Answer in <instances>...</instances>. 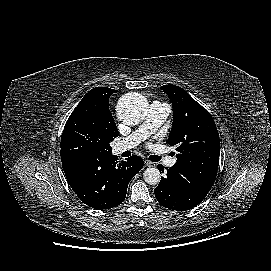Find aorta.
<instances>
[{
	"label": "aorta",
	"mask_w": 271,
	"mask_h": 271,
	"mask_svg": "<svg viewBox=\"0 0 271 271\" xmlns=\"http://www.w3.org/2000/svg\"><path fill=\"white\" fill-rule=\"evenodd\" d=\"M147 103L142 96L126 95L121 98L117 112L119 118L126 124H137L147 115ZM145 182L151 185L159 183L160 171L149 167L143 173Z\"/></svg>",
	"instance_id": "1"
}]
</instances>
